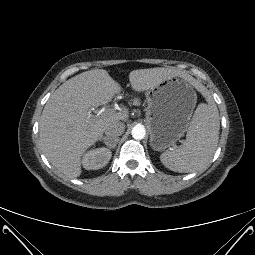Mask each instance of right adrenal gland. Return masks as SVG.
I'll return each instance as SVG.
<instances>
[{
	"label": "right adrenal gland",
	"mask_w": 255,
	"mask_h": 255,
	"mask_svg": "<svg viewBox=\"0 0 255 255\" xmlns=\"http://www.w3.org/2000/svg\"><path fill=\"white\" fill-rule=\"evenodd\" d=\"M102 140H103V142L106 144L105 138H101V139H100V141H102ZM106 145H107V144H106ZM116 145H117V142H116L114 145H107V147H108L109 149H115Z\"/></svg>",
	"instance_id": "right-adrenal-gland-1"
}]
</instances>
